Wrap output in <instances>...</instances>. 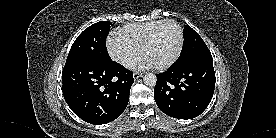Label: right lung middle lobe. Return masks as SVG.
Here are the masks:
<instances>
[{
    "instance_id": "dd1d6c3e",
    "label": "right lung middle lobe",
    "mask_w": 276,
    "mask_h": 138,
    "mask_svg": "<svg viewBox=\"0 0 276 138\" xmlns=\"http://www.w3.org/2000/svg\"><path fill=\"white\" fill-rule=\"evenodd\" d=\"M111 25L109 21H100L86 28L74 41L66 63L80 59L110 60L106 38Z\"/></svg>"
}]
</instances>
